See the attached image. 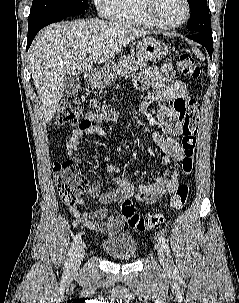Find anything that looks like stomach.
<instances>
[{"instance_id": "1", "label": "stomach", "mask_w": 239, "mask_h": 303, "mask_svg": "<svg viewBox=\"0 0 239 303\" xmlns=\"http://www.w3.org/2000/svg\"><path fill=\"white\" fill-rule=\"evenodd\" d=\"M136 54L145 60L157 61L168 54V46L160 40L153 37L144 36L136 47ZM112 68L104 66L96 71L90 78V83L94 86L102 87L115 79Z\"/></svg>"}]
</instances>
